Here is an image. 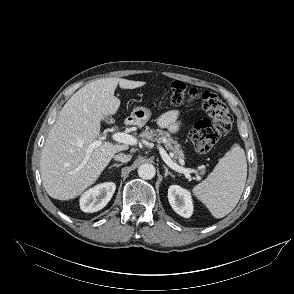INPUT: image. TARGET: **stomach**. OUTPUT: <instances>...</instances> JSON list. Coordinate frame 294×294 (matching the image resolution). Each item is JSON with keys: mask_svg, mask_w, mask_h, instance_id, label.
<instances>
[{"mask_svg": "<svg viewBox=\"0 0 294 294\" xmlns=\"http://www.w3.org/2000/svg\"><path fill=\"white\" fill-rule=\"evenodd\" d=\"M151 115L152 112L150 109L146 107H136L133 109L130 115V119L132 120L133 124L142 127L148 122Z\"/></svg>", "mask_w": 294, "mask_h": 294, "instance_id": "stomach-1", "label": "stomach"}]
</instances>
